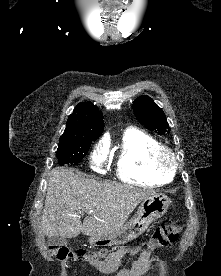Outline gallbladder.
<instances>
[{
  "label": "gallbladder",
  "mask_w": 221,
  "mask_h": 276,
  "mask_svg": "<svg viewBox=\"0 0 221 276\" xmlns=\"http://www.w3.org/2000/svg\"><path fill=\"white\" fill-rule=\"evenodd\" d=\"M48 244L52 245V246L60 247V246L66 245L67 240L64 237H61V236H51L48 239Z\"/></svg>",
  "instance_id": "gallbladder-1"
}]
</instances>
